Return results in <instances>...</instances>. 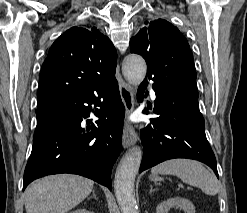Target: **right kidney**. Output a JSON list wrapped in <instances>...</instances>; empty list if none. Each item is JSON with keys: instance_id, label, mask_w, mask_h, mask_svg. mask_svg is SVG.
I'll use <instances>...</instances> for the list:
<instances>
[{"instance_id": "1", "label": "right kidney", "mask_w": 247, "mask_h": 213, "mask_svg": "<svg viewBox=\"0 0 247 213\" xmlns=\"http://www.w3.org/2000/svg\"><path fill=\"white\" fill-rule=\"evenodd\" d=\"M69 213H94V212L86 210L85 208H79V209L71 211Z\"/></svg>"}]
</instances>
